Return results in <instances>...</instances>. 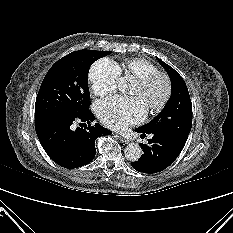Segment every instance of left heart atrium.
<instances>
[{"mask_svg": "<svg viewBox=\"0 0 233 233\" xmlns=\"http://www.w3.org/2000/svg\"><path fill=\"white\" fill-rule=\"evenodd\" d=\"M96 114L106 126L123 130L143 120L146 108L136 97L113 96L96 104Z\"/></svg>", "mask_w": 233, "mask_h": 233, "instance_id": "39dd6f15", "label": "left heart atrium"}]
</instances>
